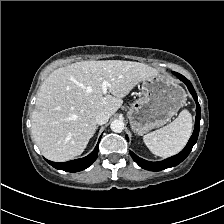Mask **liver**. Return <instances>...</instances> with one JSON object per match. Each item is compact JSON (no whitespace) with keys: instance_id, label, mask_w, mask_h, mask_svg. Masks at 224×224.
<instances>
[{"instance_id":"1","label":"liver","mask_w":224,"mask_h":224,"mask_svg":"<svg viewBox=\"0 0 224 224\" xmlns=\"http://www.w3.org/2000/svg\"><path fill=\"white\" fill-rule=\"evenodd\" d=\"M154 74L144 63L122 60L81 61L54 70L32 113V136L42 155L56 162L81 155L97 129V113L115 114L122 98ZM103 81L110 84L106 95Z\"/></svg>"}]
</instances>
